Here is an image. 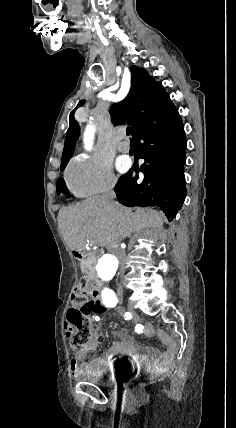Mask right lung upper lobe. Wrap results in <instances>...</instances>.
<instances>
[{
	"label": "right lung upper lobe",
	"mask_w": 236,
	"mask_h": 428,
	"mask_svg": "<svg viewBox=\"0 0 236 428\" xmlns=\"http://www.w3.org/2000/svg\"><path fill=\"white\" fill-rule=\"evenodd\" d=\"M132 85L128 96L119 103L112 105L110 109L112 120L115 124L124 121L131 125L133 133L149 119L158 116L174 105L159 82H155L145 70L136 66L131 67ZM84 104L80 101L77 107L70 113L69 129L66 134L64 150L62 153L61 169H65L79 136V125L74 119L75 110Z\"/></svg>",
	"instance_id": "1"
}]
</instances>
